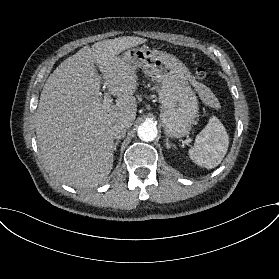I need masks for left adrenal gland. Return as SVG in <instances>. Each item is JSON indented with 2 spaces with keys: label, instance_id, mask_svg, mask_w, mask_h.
Wrapping results in <instances>:
<instances>
[{
  "label": "left adrenal gland",
  "instance_id": "a2214340",
  "mask_svg": "<svg viewBox=\"0 0 279 279\" xmlns=\"http://www.w3.org/2000/svg\"><path fill=\"white\" fill-rule=\"evenodd\" d=\"M165 145H166V148H167V149H170L171 146H173L174 148H176V145H175V144L169 143V139H168V138H166Z\"/></svg>",
  "mask_w": 279,
  "mask_h": 279
}]
</instances>
